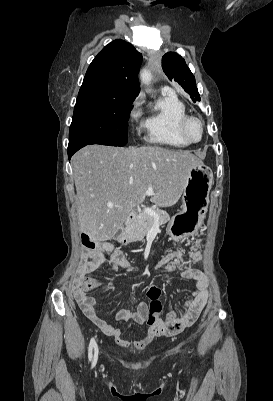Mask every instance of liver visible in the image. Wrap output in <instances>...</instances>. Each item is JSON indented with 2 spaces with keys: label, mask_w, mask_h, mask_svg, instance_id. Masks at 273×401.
Returning a JSON list of instances; mask_svg holds the SVG:
<instances>
[{
  "label": "liver",
  "mask_w": 273,
  "mask_h": 401,
  "mask_svg": "<svg viewBox=\"0 0 273 401\" xmlns=\"http://www.w3.org/2000/svg\"><path fill=\"white\" fill-rule=\"evenodd\" d=\"M202 160L191 150L161 146H102L88 144L72 158L81 233L94 241L113 239L130 211L145 201L172 207L184 190L187 170Z\"/></svg>",
  "instance_id": "6515ba94"
}]
</instances>
